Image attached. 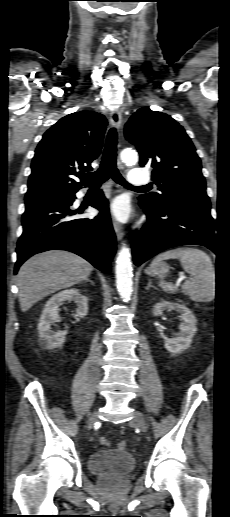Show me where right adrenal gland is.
I'll list each match as a JSON object with an SVG mask.
<instances>
[{"label": "right adrenal gland", "mask_w": 230, "mask_h": 517, "mask_svg": "<svg viewBox=\"0 0 230 517\" xmlns=\"http://www.w3.org/2000/svg\"><path fill=\"white\" fill-rule=\"evenodd\" d=\"M84 282H90L92 285H95V283L92 280L88 279V278Z\"/></svg>", "instance_id": "1"}]
</instances>
